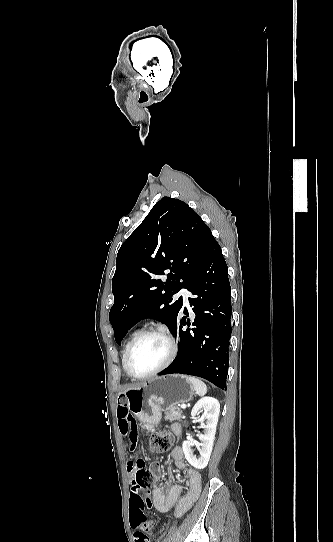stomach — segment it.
Returning <instances> with one entry per match:
<instances>
[{
    "label": "stomach",
    "instance_id": "1",
    "mask_svg": "<svg viewBox=\"0 0 333 542\" xmlns=\"http://www.w3.org/2000/svg\"><path fill=\"white\" fill-rule=\"evenodd\" d=\"M187 376L169 374L156 376L144 382L137 390L119 394V404H125L141 424L156 428L162 418V410L175 408L176 404H187L194 396Z\"/></svg>",
    "mask_w": 333,
    "mask_h": 542
}]
</instances>
